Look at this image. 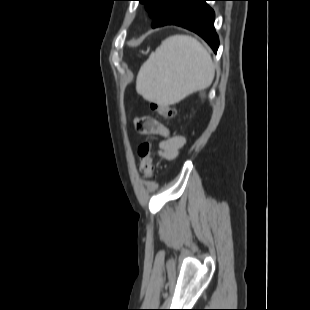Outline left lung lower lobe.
I'll return each mask as SVG.
<instances>
[{
	"label": "left lung lower lobe",
	"mask_w": 310,
	"mask_h": 310,
	"mask_svg": "<svg viewBox=\"0 0 310 310\" xmlns=\"http://www.w3.org/2000/svg\"><path fill=\"white\" fill-rule=\"evenodd\" d=\"M206 1L187 0L186 5L168 25H177L200 35L216 53L219 40L214 29V11Z\"/></svg>",
	"instance_id": "0a47b994"
}]
</instances>
